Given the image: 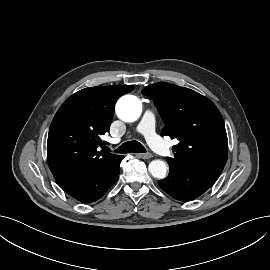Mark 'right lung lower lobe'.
Masks as SVG:
<instances>
[{
    "label": "right lung lower lobe",
    "mask_w": 270,
    "mask_h": 270,
    "mask_svg": "<svg viewBox=\"0 0 270 270\" xmlns=\"http://www.w3.org/2000/svg\"><path fill=\"white\" fill-rule=\"evenodd\" d=\"M123 158L122 156L114 164L97 175L62 187L63 190L83 203L94 202L100 199L118 179L120 162Z\"/></svg>",
    "instance_id": "obj_1"
}]
</instances>
